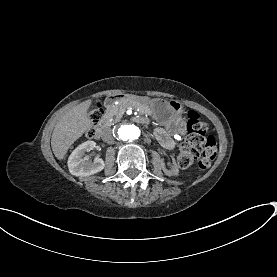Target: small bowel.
I'll list each match as a JSON object with an SVG mask.
<instances>
[{
	"mask_svg": "<svg viewBox=\"0 0 277 277\" xmlns=\"http://www.w3.org/2000/svg\"><path fill=\"white\" fill-rule=\"evenodd\" d=\"M184 129L182 127H179L176 131V138H180L182 135H184ZM156 136L158 140L161 142L163 147L167 149H172L175 146V140L174 138L164 129L159 128L156 130Z\"/></svg>",
	"mask_w": 277,
	"mask_h": 277,
	"instance_id": "small-bowel-1",
	"label": "small bowel"
}]
</instances>
